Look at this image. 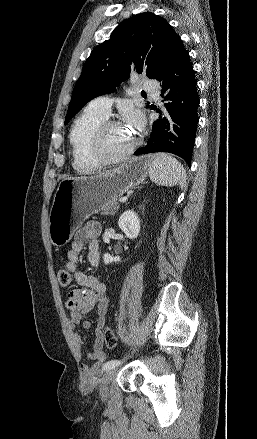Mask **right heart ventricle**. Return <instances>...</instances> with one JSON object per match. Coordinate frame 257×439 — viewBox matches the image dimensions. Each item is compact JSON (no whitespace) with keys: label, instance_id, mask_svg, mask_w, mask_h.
<instances>
[{"label":"right heart ventricle","instance_id":"right-heart-ventricle-1","mask_svg":"<svg viewBox=\"0 0 257 439\" xmlns=\"http://www.w3.org/2000/svg\"><path fill=\"white\" fill-rule=\"evenodd\" d=\"M107 117L86 108L74 121L69 134L72 164L80 173H92L99 167L92 152V137L96 128Z\"/></svg>","mask_w":257,"mask_h":439}]
</instances>
